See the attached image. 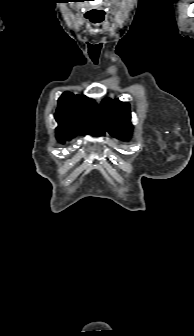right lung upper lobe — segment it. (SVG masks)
I'll list each match as a JSON object with an SVG mask.
<instances>
[{"instance_id": "1", "label": "right lung upper lobe", "mask_w": 194, "mask_h": 336, "mask_svg": "<svg viewBox=\"0 0 194 336\" xmlns=\"http://www.w3.org/2000/svg\"><path fill=\"white\" fill-rule=\"evenodd\" d=\"M55 119L58 140H69L76 134L103 135L105 132L98 105L86 96L63 93L58 100Z\"/></svg>"}]
</instances>
